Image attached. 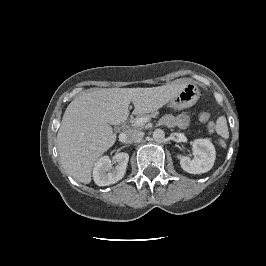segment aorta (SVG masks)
I'll list each match as a JSON object with an SVG mask.
<instances>
[{"label":"aorta","instance_id":"1","mask_svg":"<svg viewBox=\"0 0 266 266\" xmlns=\"http://www.w3.org/2000/svg\"><path fill=\"white\" fill-rule=\"evenodd\" d=\"M165 137V132L162 130V129H156L154 132H153V139L155 141H162Z\"/></svg>","mask_w":266,"mask_h":266}]
</instances>
